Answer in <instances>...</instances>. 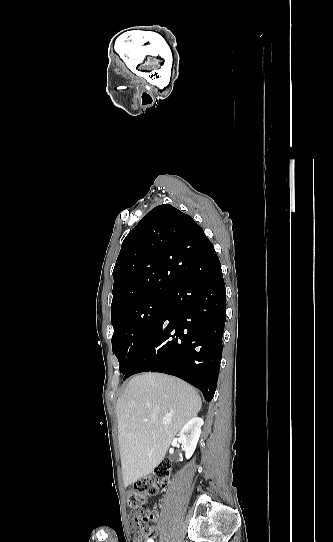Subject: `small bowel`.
<instances>
[{
  "label": "small bowel",
  "instance_id": "c3829d8e",
  "mask_svg": "<svg viewBox=\"0 0 333 542\" xmlns=\"http://www.w3.org/2000/svg\"><path fill=\"white\" fill-rule=\"evenodd\" d=\"M158 534H159V531H158L157 529H154V530L150 533V538H151V539H156Z\"/></svg>",
  "mask_w": 333,
  "mask_h": 542
}]
</instances>
